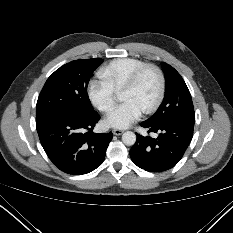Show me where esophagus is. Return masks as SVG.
Wrapping results in <instances>:
<instances>
[{"label":"esophagus","instance_id":"obj_1","mask_svg":"<svg viewBox=\"0 0 233 233\" xmlns=\"http://www.w3.org/2000/svg\"><path fill=\"white\" fill-rule=\"evenodd\" d=\"M112 132L114 135L118 136V135H121L124 131L121 129H114L112 130Z\"/></svg>","mask_w":233,"mask_h":233}]
</instances>
